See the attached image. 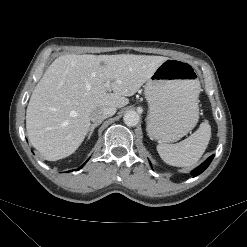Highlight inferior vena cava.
Listing matches in <instances>:
<instances>
[{"label":"inferior vena cava","instance_id":"inferior-vena-cava-1","mask_svg":"<svg viewBox=\"0 0 247 247\" xmlns=\"http://www.w3.org/2000/svg\"><path fill=\"white\" fill-rule=\"evenodd\" d=\"M116 113L115 107H105L102 109H95L91 112L90 119L94 123H101L107 117H110Z\"/></svg>","mask_w":247,"mask_h":247}]
</instances>
